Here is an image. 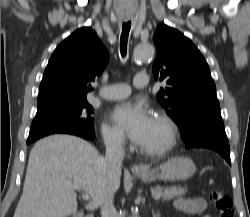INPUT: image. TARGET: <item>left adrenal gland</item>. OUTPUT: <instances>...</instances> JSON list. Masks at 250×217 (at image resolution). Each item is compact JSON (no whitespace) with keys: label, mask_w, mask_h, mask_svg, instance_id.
Segmentation results:
<instances>
[{"label":"left adrenal gland","mask_w":250,"mask_h":217,"mask_svg":"<svg viewBox=\"0 0 250 217\" xmlns=\"http://www.w3.org/2000/svg\"><path fill=\"white\" fill-rule=\"evenodd\" d=\"M153 217H159V214L155 215L154 211H153Z\"/></svg>","instance_id":"left-adrenal-gland-1"}]
</instances>
